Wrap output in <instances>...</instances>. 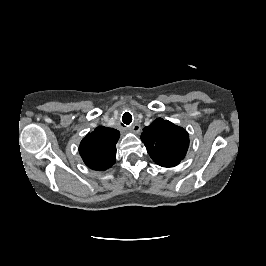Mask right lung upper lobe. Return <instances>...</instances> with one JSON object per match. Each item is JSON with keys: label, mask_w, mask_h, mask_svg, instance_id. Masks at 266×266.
<instances>
[{"label": "right lung upper lobe", "mask_w": 266, "mask_h": 266, "mask_svg": "<svg viewBox=\"0 0 266 266\" xmlns=\"http://www.w3.org/2000/svg\"><path fill=\"white\" fill-rule=\"evenodd\" d=\"M118 130L97 127L81 141L79 153L84 163L93 170L104 171L115 163Z\"/></svg>", "instance_id": "cb5924a9"}]
</instances>
